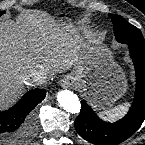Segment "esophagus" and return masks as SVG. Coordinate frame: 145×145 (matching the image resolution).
<instances>
[{
	"label": "esophagus",
	"mask_w": 145,
	"mask_h": 145,
	"mask_svg": "<svg viewBox=\"0 0 145 145\" xmlns=\"http://www.w3.org/2000/svg\"><path fill=\"white\" fill-rule=\"evenodd\" d=\"M76 81L71 75H66L60 82V85L64 88H72Z\"/></svg>",
	"instance_id": "esophagus-1"
}]
</instances>
